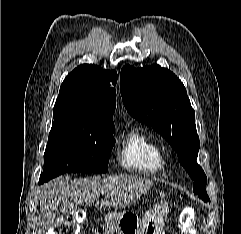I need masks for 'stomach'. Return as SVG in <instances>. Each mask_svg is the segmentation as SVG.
<instances>
[{
	"label": "stomach",
	"mask_w": 241,
	"mask_h": 234,
	"mask_svg": "<svg viewBox=\"0 0 241 234\" xmlns=\"http://www.w3.org/2000/svg\"><path fill=\"white\" fill-rule=\"evenodd\" d=\"M166 216L167 207L160 204L149 209L141 220L131 212H123L114 220L118 234H165Z\"/></svg>",
	"instance_id": "1"
}]
</instances>
